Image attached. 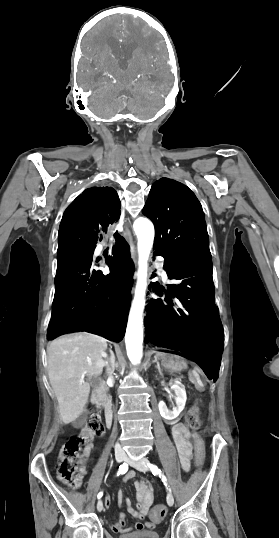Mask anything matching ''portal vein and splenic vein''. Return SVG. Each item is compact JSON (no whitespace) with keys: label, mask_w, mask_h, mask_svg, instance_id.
Instances as JSON below:
<instances>
[{"label":"portal vein and splenic vein","mask_w":279,"mask_h":538,"mask_svg":"<svg viewBox=\"0 0 279 538\" xmlns=\"http://www.w3.org/2000/svg\"><path fill=\"white\" fill-rule=\"evenodd\" d=\"M172 380H174V383H181V380H183V377H172Z\"/></svg>","instance_id":"18ae733b"}]
</instances>
